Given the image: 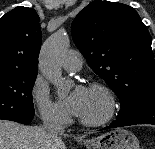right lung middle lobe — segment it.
<instances>
[{"label": "right lung middle lobe", "mask_w": 155, "mask_h": 149, "mask_svg": "<svg viewBox=\"0 0 155 149\" xmlns=\"http://www.w3.org/2000/svg\"><path fill=\"white\" fill-rule=\"evenodd\" d=\"M36 77L37 71L0 72V119L24 123L33 118Z\"/></svg>", "instance_id": "obj_1"}]
</instances>
